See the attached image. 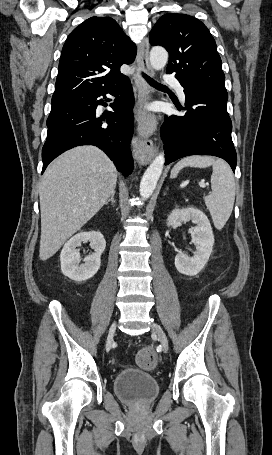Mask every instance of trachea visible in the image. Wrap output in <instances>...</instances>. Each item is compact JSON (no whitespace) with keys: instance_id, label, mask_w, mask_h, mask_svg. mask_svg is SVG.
Segmentation results:
<instances>
[{"instance_id":"1","label":"trachea","mask_w":272,"mask_h":455,"mask_svg":"<svg viewBox=\"0 0 272 455\" xmlns=\"http://www.w3.org/2000/svg\"><path fill=\"white\" fill-rule=\"evenodd\" d=\"M143 77L145 78V80L151 85V86H154V87H165L164 85L154 81L153 79H151L149 76H147L146 74L143 73Z\"/></svg>"}]
</instances>
